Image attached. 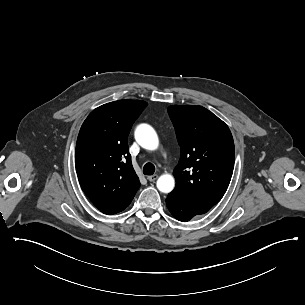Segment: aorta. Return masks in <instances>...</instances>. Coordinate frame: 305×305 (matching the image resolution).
Instances as JSON below:
<instances>
[{
	"label": "aorta",
	"instance_id": "1",
	"mask_svg": "<svg viewBox=\"0 0 305 305\" xmlns=\"http://www.w3.org/2000/svg\"><path fill=\"white\" fill-rule=\"evenodd\" d=\"M135 139L147 150H156L159 145L157 133L148 124H141L136 128ZM156 185L160 192L170 193L175 187V179L170 174H163L158 178Z\"/></svg>",
	"mask_w": 305,
	"mask_h": 305
}]
</instances>
